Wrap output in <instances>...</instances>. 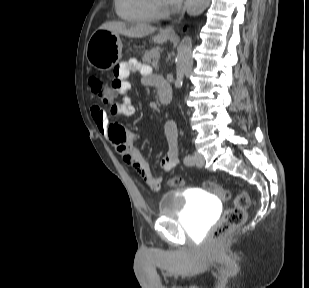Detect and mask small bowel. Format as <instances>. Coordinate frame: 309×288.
<instances>
[{"label":"small bowel","instance_id":"1","mask_svg":"<svg viewBox=\"0 0 309 288\" xmlns=\"http://www.w3.org/2000/svg\"><path fill=\"white\" fill-rule=\"evenodd\" d=\"M138 65L134 62H125L114 70L115 80L113 83L119 84L118 91L122 93L123 100L120 103H114L111 106V114L114 116L130 117L134 114V108L131 104L129 96L130 84L126 80L129 72ZM143 73L147 70L145 67L140 68ZM146 81L159 87L162 81L159 78H148ZM94 123L98 132L113 146V148L122 156L123 161L130 168L134 169L144 180L151 184L154 188L161 186L162 179L153 174L149 164L140 155L137 147V137L124 130L117 123L111 124L107 114L100 106L91 108ZM165 135L168 142L167 151L162 159V168L165 171L172 170L179 163L178 145H177V128L174 121L169 120L165 124Z\"/></svg>","mask_w":309,"mask_h":288}]
</instances>
